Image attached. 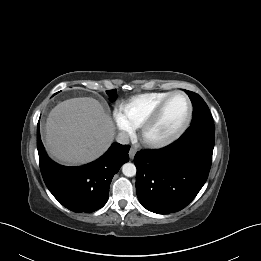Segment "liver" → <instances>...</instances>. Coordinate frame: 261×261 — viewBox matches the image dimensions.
Wrapping results in <instances>:
<instances>
[{
	"label": "liver",
	"mask_w": 261,
	"mask_h": 261,
	"mask_svg": "<svg viewBox=\"0 0 261 261\" xmlns=\"http://www.w3.org/2000/svg\"><path fill=\"white\" fill-rule=\"evenodd\" d=\"M114 123L93 98H72L55 106L46 122V147L65 164L81 165L100 157L111 145Z\"/></svg>",
	"instance_id": "6515ba94"
}]
</instances>
